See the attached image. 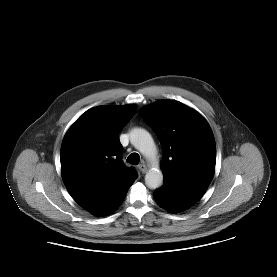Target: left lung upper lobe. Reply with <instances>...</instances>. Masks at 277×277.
<instances>
[{"label":"left lung upper lobe","mask_w":277,"mask_h":277,"mask_svg":"<svg viewBox=\"0 0 277 277\" xmlns=\"http://www.w3.org/2000/svg\"><path fill=\"white\" fill-rule=\"evenodd\" d=\"M139 114L162 144L164 183L206 191L216 163L215 140L206 120L195 110L172 100L151 104Z\"/></svg>","instance_id":"left-lung-upper-lobe-1"}]
</instances>
